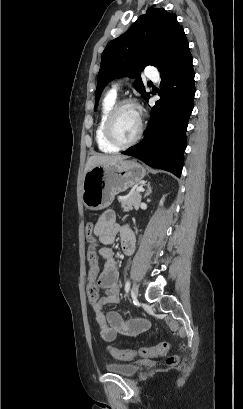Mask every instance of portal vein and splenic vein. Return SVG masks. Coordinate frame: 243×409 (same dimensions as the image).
Here are the masks:
<instances>
[{"mask_svg":"<svg viewBox=\"0 0 243 409\" xmlns=\"http://www.w3.org/2000/svg\"><path fill=\"white\" fill-rule=\"evenodd\" d=\"M136 191H138V192H143L144 191V188L143 187H138L137 189H136Z\"/></svg>","mask_w":243,"mask_h":409,"instance_id":"18ae733b","label":"portal vein and splenic vein"}]
</instances>
